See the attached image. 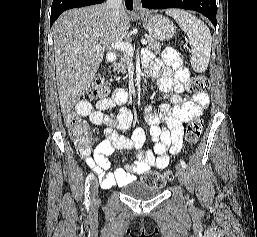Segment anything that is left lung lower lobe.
<instances>
[{"label":"left lung lower lobe","instance_id":"left-lung-lower-lobe-1","mask_svg":"<svg viewBox=\"0 0 257 237\" xmlns=\"http://www.w3.org/2000/svg\"><path fill=\"white\" fill-rule=\"evenodd\" d=\"M142 7L148 9L182 8L200 12L206 16L216 28L215 0H141Z\"/></svg>","mask_w":257,"mask_h":237}]
</instances>
